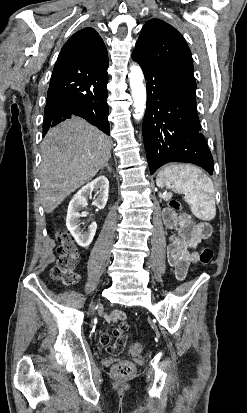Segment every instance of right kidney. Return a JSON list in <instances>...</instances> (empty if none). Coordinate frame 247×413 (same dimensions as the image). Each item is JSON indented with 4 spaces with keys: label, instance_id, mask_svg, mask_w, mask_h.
Masks as SVG:
<instances>
[{
    "label": "right kidney",
    "instance_id": "1",
    "mask_svg": "<svg viewBox=\"0 0 247 413\" xmlns=\"http://www.w3.org/2000/svg\"><path fill=\"white\" fill-rule=\"evenodd\" d=\"M108 188L109 180L107 176H102L101 174V176H97V178H94V180H91V182L82 186L69 202L66 227L68 231H70L72 237H74L76 243H78L80 247H84V249H87L90 243H92L97 225L96 223H91L88 227V231L83 233L79 225V219L81 217L79 211H81L82 207H86L89 196L91 198L92 190H96L97 192V196L94 198L92 204H96L97 209H104L108 200Z\"/></svg>",
    "mask_w": 247,
    "mask_h": 413
}]
</instances>
